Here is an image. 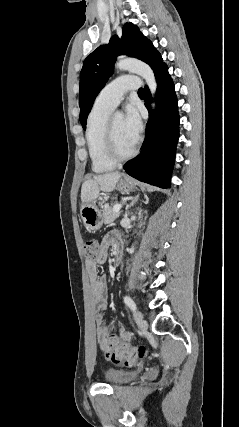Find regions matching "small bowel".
Segmentation results:
<instances>
[{"label":"small bowel","instance_id":"obj_1","mask_svg":"<svg viewBox=\"0 0 239 427\" xmlns=\"http://www.w3.org/2000/svg\"><path fill=\"white\" fill-rule=\"evenodd\" d=\"M118 243H121L119 233L116 231L109 232L103 238L96 258L86 262V271L89 279V303L91 312L95 316L97 341L99 347L104 351L105 357L110 360H112V357L108 346L109 331L102 323V312L106 302V283L105 279L98 275L97 267L98 264L106 261L109 248H115ZM121 337L129 339L130 334L121 331Z\"/></svg>","mask_w":239,"mask_h":427}]
</instances>
